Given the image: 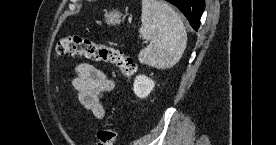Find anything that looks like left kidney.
Here are the masks:
<instances>
[{
	"label": "left kidney",
	"mask_w": 276,
	"mask_h": 145,
	"mask_svg": "<svg viewBox=\"0 0 276 145\" xmlns=\"http://www.w3.org/2000/svg\"><path fill=\"white\" fill-rule=\"evenodd\" d=\"M155 86L152 79L145 75L136 76L133 84V90L137 97L146 98L151 93Z\"/></svg>",
	"instance_id": "obj_1"
}]
</instances>
